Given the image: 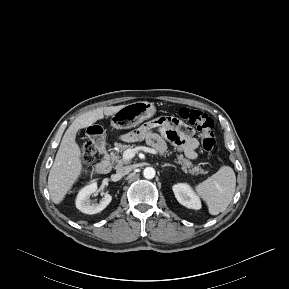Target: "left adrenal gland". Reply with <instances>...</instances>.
<instances>
[{
    "label": "left adrenal gland",
    "mask_w": 289,
    "mask_h": 289,
    "mask_svg": "<svg viewBox=\"0 0 289 289\" xmlns=\"http://www.w3.org/2000/svg\"><path fill=\"white\" fill-rule=\"evenodd\" d=\"M166 166L175 167V165H172V164H168V163H165V164L161 165V167H166Z\"/></svg>",
    "instance_id": "left-adrenal-gland-1"
}]
</instances>
